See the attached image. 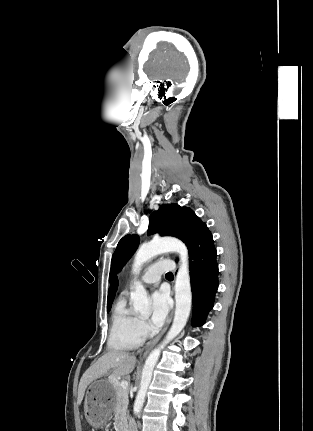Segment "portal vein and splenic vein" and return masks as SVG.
Here are the masks:
<instances>
[{
  "label": "portal vein and splenic vein",
  "mask_w": 313,
  "mask_h": 431,
  "mask_svg": "<svg viewBox=\"0 0 313 431\" xmlns=\"http://www.w3.org/2000/svg\"><path fill=\"white\" fill-rule=\"evenodd\" d=\"M128 385H129V383L126 380H123L120 382V387L123 389H127Z\"/></svg>",
  "instance_id": "portal-vein-and-splenic-vein-1"
}]
</instances>
